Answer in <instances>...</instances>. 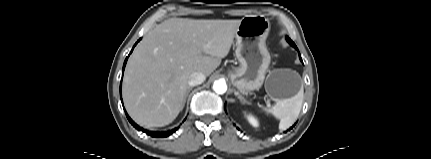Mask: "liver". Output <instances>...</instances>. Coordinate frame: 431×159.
Listing matches in <instances>:
<instances>
[{"label":"liver","mask_w":431,"mask_h":159,"mask_svg":"<svg viewBox=\"0 0 431 159\" xmlns=\"http://www.w3.org/2000/svg\"><path fill=\"white\" fill-rule=\"evenodd\" d=\"M241 20L171 18L157 25L131 55L123 100L141 126L170 124L183 109L189 76H209L226 57Z\"/></svg>","instance_id":"1"}]
</instances>
